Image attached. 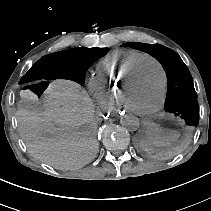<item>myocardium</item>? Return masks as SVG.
Wrapping results in <instances>:
<instances>
[{
	"mask_svg": "<svg viewBox=\"0 0 211 211\" xmlns=\"http://www.w3.org/2000/svg\"><path fill=\"white\" fill-rule=\"evenodd\" d=\"M146 61L154 62L160 69L161 92H160L158 101L152 107H150L147 110H140V109L131 108L126 102L125 95H126V91H127L129 82L131 81L133 76L136 74V72L138 71L140 66ZM166 83H167V74H166L163 64L157 58H155L153 56H146L137 65H135L130 71H128L124 75V77L119 85V89H118V100L127 111H129L133 114H136L139 116H151L152 114L157 112L159 110V108L161 107V105L163 104L164 97H165Z\"/></svg>",
	"mask_w": 211,
	"mask_h": 211,
	"instance_id": "obj_1",
	"label": "myocardium"
}]
</instances>
